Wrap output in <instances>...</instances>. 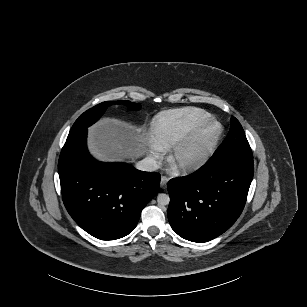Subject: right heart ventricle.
Segmentation results:
<instances>
[{"label":"right heart ventricle","mask_w":307,"mask_h":307,"mask_svg":"<svg viewBox=\"0 0 307 307\" xmlns=\"http://www.w3.org/2000/svg\"><path fill=\"white\" fill-rule=\"evenodd\" d=\"M213 120V116L198 108L165 110L152 121L155 145L161 150L175 148Z\"/></svg>","instance_id":"e07e8e85"}]
</instances>
